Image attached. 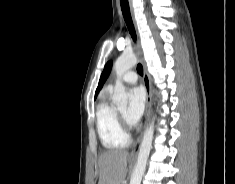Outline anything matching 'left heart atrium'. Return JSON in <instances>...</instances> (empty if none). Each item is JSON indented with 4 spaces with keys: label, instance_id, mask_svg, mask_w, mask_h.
I'll return each mask as SVG.
<instances>
[{
    "label": "left heart atrium",
    "instance_id": "left-heart-atrium-1",
    "mask_svg": "<svg viewBox=\"0 0 235 184\" xmlns=\"http://www.w3.org/2000/svg\"><path fill=\"white\" fill-rule=\"evenodd\" d=\"M145 109V94L140 88L131 90L130 106L127 112V120L136 125L140 121Z\"/></svg>",
    "mask_w": 235,
    "mask_h": 184
}]
</instances>
